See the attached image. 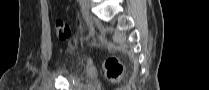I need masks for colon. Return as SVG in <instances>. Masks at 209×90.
I'll use <instances>...</instances> for the list:
<instances>
[{
  "label": "colon",
  "instance_id": "1",
  "mask_svg": "<svg viewBox=\"0 0 209 90\" xmlns=\"http://www.w3.org/2000/svg\"><path fill=\"white\" fill-rule=\"evenodd\" d=\"M55 32L59 41H66L69 39L71 31L69 26L62 20H58L55 24ZM105 70L110 81L118 85V89L125 90L126 87L120 85L124 73V67L121 61L114 56H110L105 61Z\"/></svg>",
  "mask_w": 209,
  "mask_h": 90
}]
</instances>
